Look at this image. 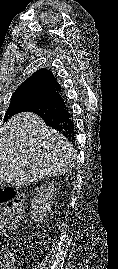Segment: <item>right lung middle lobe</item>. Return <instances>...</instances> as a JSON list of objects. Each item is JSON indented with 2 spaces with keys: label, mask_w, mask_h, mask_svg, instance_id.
I'll list each match as a JSON object with an SVG mask.
<instances>
[{
  "label": "right lung middle lobe",
  "mask_w": 118,
  "mask_h": 269,
  "mask_svg": "<svg viewBox=\"0 0 118 269\" xmlns=\"http://www.w3.org/2000/svg\"><path fill=\"white\" fill-rule=\"evenodd\" d=\"M24 109H25V105L20 100V98L19 97L12 96L11 103H10V105H9L6 113H5L4 119L7 120L11 116H13V115H15L17 113L23 112Z\"/></svg>",
  "instance_id": "obj_1"
}]
</instances>
